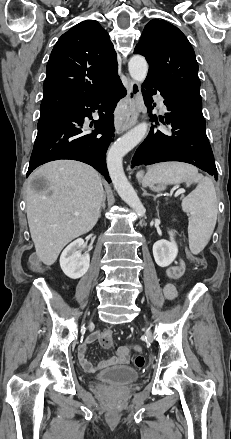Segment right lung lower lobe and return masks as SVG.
<instances>
[{
    "instance_id": "obj_1",
    "label": "right lung lower lobe",
    "mask_w": 231,
    "mask_h": 439,
    "mask_svg": "<svg viewBox=\"0 0 231 439\" xmlns=\"http://www.w3.org/2000/svg\"><path fill=\"white\" fill-rule=\"evenodd\" d=\"M125 95L126 90L118 77L107 90L39 120L27 176L49 161L72 159L93 166L110 183L106 151L114 137V109ZM95 110L99 112V119L87 127L84 118L91 119ZM92 126L94 130L90 129Z\"/></svg>"
}]
</instances>
